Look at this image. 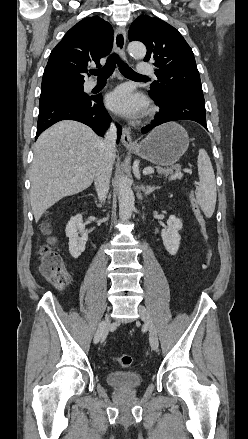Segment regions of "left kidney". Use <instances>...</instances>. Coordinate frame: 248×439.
<instances>
[{"label": "left kidney", "mask_w": 248, "mask_h": 439, "mask_svg": "<svg viewBox=\"0 0 248 439\" xmlns=\"http://www.w3.org/2000/svg\"><path fill=\"white\" fill-rule=\"evenodd\" d=\"M182 221L174 215L167 220V228L161 231L163 245L170 255H176L180 246L181 236L179 231L182 229Z\"/></svg>", "instance_id": "left-kidney-1"}]
</instances>
